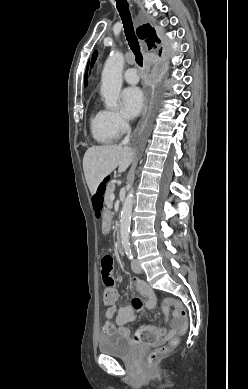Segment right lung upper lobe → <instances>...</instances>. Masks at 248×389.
I'll return each mask as SVG.
<instances>
[{
	"mask_svg": "<svg viewBox=\"0 0 248 389\" xmlns=\"http://www.w3.org/2000/svg\"><path fill=\"white\" fill-rule=\"evenodd\" d=\"M137 35L140 39H145L149 49L157 48L161 40L157 37L155 29L150 24H144L137 28ZM162 49V47H161ZM161 52L159 53V55ZM97 57V51L94 52L91 67L93 66Z\"/></svg>",
	"mask_w": 248,
	"mask_h": 389,
	"instance_id": "right-lung-upper-lobe-1",
	"label": "right lung upper lobe"
}]
</instances>
